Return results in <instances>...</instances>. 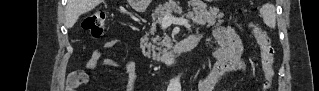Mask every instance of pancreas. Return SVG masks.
Masks as SVG:
<instances>
[{
	"instance_id": "obj_1",
	"label": "pancreas",
	"mask_w": 319,
	"mask_h": 91,
	"mask_svg": "<svg viewBox=\"0 0 319 91\" xmlns=\"http://www.w3.org/2000/svg\"><path fill=\"white\" fill-rule=\"evenodd\" d=\"M194 5L193 11H190L186 14V17L191 18L195 23L199 25L207 24L208 27L214 26L216 22L217 25L222 24L223 14H218V10L211 9L208 11L204 5H197V3H192ZM173 11H180L179 7L173 3H166L163 6H159L154 10L152 14V20L154 24H161L163 21V17L165 14H171ZM155 30H151V34H154ZM151 42H146L145 54L148 57H151L153 60L160 61L164 56L168 53L166 49L163 47H167L171 45V41L169 38L164 37L160 38L156 36L155 38L151 39Z\"/></svg>"
}]
</instances>
